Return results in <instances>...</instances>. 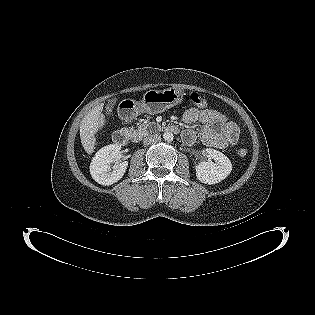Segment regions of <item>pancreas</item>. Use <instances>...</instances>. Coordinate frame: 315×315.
I'll return each mask as SVG.
<instances>
[{
	"instance_id": "pancreas-1",
	"label": "pancreas",
	"mask_w": 315,
	"mask_h": 315,
	"mask_svg": "<svg viewBox=\"0 0 315 315\" xmlns=\"http://www.w3.org/2000/svg\"><path fill=\"white\" fill-rule=\"evenodd\" d=\"M155 125H156L155 122H143L142 124H139L136 129L134 128L129 129L130 136L134 140H138L142 138L143 136H145L146 134H148V131H147L148 127L155 126Z\"/></svg>"
}]
</instances>
